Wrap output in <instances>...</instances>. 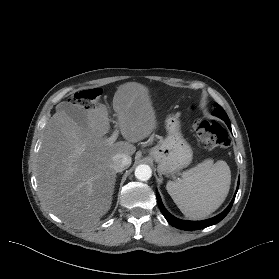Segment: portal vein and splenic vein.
<instances>
[{"label":"portal vein and splenic vein","mask_w":279,"mask_h":279,"mask_svg":"<svg viewBox=\"0 0 279 279\" xmlns=\"http://www.w3.org/2000/svg\"><path fill=\"white\" fill-rule=\"evenodd\" d=\"M117 136H118V130H115L114 132H113V134L111 135V137H109L108 138V142L109 143H113V142H115V140L117 139Z\"/></svg>","instance_id":"portal-vein-and-splenic-vein-1"}]
</instances>
